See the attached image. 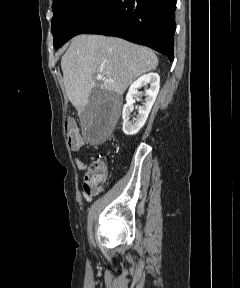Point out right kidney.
Masks as SVG:
<instances>
[{
	"label": "right kidney",
	"instance_id": "obj_1",
	"mask_svg": "<svg viewBox=\"0 0 240 288\" xmlns=\"http://www.w3.org/2000/svg\"><path fill=\"white\" fill-rule=\"evenodd\" d=\"M150 85L145 92V102L139 106L138 115L133 121H130L131 112L133 111V102L136 95L141 94L139 89L142 86ZM160 87V77L157 73H148L139 77L129 88L126 96V104L123 107V132L126 135H135L145 124L151 108L156 100Z\"/></svg>",
	"mask_w": 240,
	"mask_h": 288
}]
</instances>
